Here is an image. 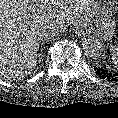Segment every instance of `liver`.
Masks as SVG:
<instances>
[{"label":"liver","mask_w":118,"mask_h":118,"mask_svg":"<svg viewBox=\"0 0 118 118\" xmlns=\"http://www.w3.org/2000/svg\"><path fill=\"white\" fill-rule=\"evenodd\" d=\"M91 0H0V76L23 78L37 63L46 25L67 23L88 10Z\"/></svg>","instance_id":"6515ba94"}]
</instances>
